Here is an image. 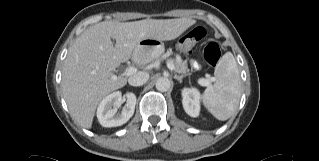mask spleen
<instances>
[{
    "mask_svg": "<svg viewBox=\"0 0 319 161\" xmlns=\"http://www.w3.org/2000/svg\"><path fill=\"white\" fill-rule=\"evenodd\" d=\"M214 75L215 83L205 89L202 100L216 119L225 121L234 114L241 97L240 73L231 52L219 60Z\"/></svg>",
    "mask_w": 319,
    "mask_h": 161,
    "instance_id": "3e777b00",
    "label": "spleen"
}]
</instances>
